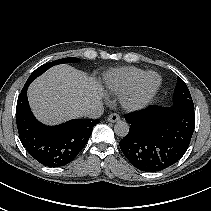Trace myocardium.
I'll use <instances>...</instances> for the list:
<instances>
[{
    "label": "myocardium",
    "mask_w": 211,
    "mask_h": 211,
    "mask_svg": "<svg viewBox=\"0 0 211 211\" xmlns=\"http://www.w3.org/2000/svg\"><path fill=\"white\" fill-rule=\"evenodd\" d=\"M156 76L158 83L151 89L145 88V83L150 76ZM162 86V77L155 71L146 72L140 80L137 82L135 87L124 94L121 103L122 106L130 111H138L145 109L155 98Z\"/></svg>",
    "instance_id": "myocardium-1"
}]
</instances>
